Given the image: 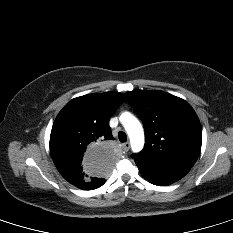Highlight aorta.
<instances>
[{
  "label": "aorta",
  "instance_id": "obj_1",
  "mask_svg": "<svg viewBox=\"0 0 233 233\" xmlns=\"http://www.w3.org/2000/svg\"><path fill=\"white\" fill-rule=\"evenodd\" d=\"M120 121L124 126L131 143L133 152H140L144 146V131L139 120L129 112L120 116Z\"/></svg>",
  "mask_w": 233,
  "mask_h": 233
}]
</instances>
